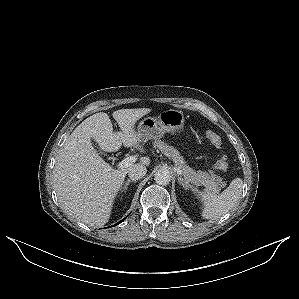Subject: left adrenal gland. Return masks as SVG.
<instances>
[{"label": "left adrenal gland", "instance_id": "obj_1", "mask_svg": "<svg viewBox=\"0 0 299 299\" xmlns=\"http://www.w3.org/2000/svg\"><path fill=\"white\" fill-rule=\"evenodd\" d=\"M177 177H178V183L186 189L187 183L183 180V178L181 176L177 175Z\"/></svg>", "mask_w": 299, "mask_h": 299}]
</instances>
